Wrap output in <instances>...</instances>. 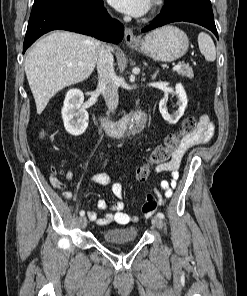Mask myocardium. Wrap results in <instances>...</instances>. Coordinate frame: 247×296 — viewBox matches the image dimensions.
<instances>
[{
    "instance_id": "obj_1",
    "label": "myocardium",
    "mask_w": 247,
    "mask_h": 296,
    "mask_svg": "<svg viewBox=\"0 0 247 296\" xmlns=\"http://www.w3.org/2000/svg\"><path fill=\"white\" fill-rule=\"evenodd\" d=\"M158 9V0H154L151 5L149 16H152Z\"/></svg>"
}]
</instances>
